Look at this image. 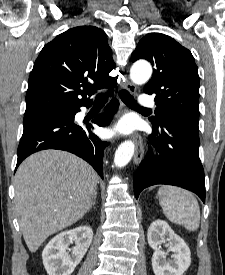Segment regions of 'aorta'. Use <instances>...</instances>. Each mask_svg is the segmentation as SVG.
Returning a JSON list of instances; mask_svg holds the SVG:
<instances>
[{
    "label": "aorta",
    "mask_w": 225,
    "mask_h": 275,
    "mask_svg": "<svg viewBox=\"0 0 225 275\" xmlns=\"http://www.w3.org/2000/svg\"><path fill=\"white\" fill-rule=\"evenodd\" d=\"M152 75V67L148 62L139 61L133 64L130 70V78L135 84L146 83ZM134 143L132 141L123 142L115 152L114 163L117 167L127 165L134 154Z\"/></svg>",
    "instance_id": "obj_1"
}]
</instances>
